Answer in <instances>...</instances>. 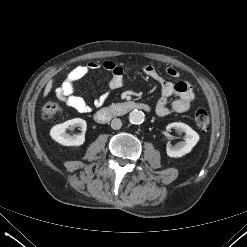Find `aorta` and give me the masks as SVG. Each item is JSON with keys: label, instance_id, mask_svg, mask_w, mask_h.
I'll list each match as a JSON object with an SVG mask.
<instances>
[{"label": "aorta", "instance_id": "762f6f07", "mask_svg": "<svg viewBox=\"0 0 247 247\" xmlns=\"http://www.w3.org/2000/svg\"><path fill=\"white\" fill-rule=\"evenodd\" d=\"M145 120V115L140 110H133L129 113V121L131 124L139 125Z\"/></svg>", "mask_w": 247, "mask_h": 247}]
</instances>
